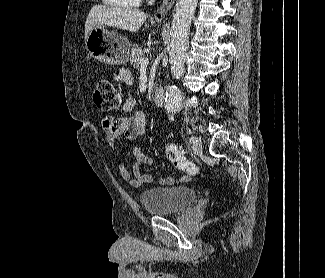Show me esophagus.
<instances>
[{
	"mask_svg": "<svg viewBox=\"0 0 325 278\" xmlns=\"http://www.w3.org/2000/svg\"><path fill=\"white\" fill-rule=\"evenodd\" d=\"M175 3V0H163V3L161 6L157 9V11L154 14V19L156 21H161L165 18L167 13L171 10Z\"/></svg>",
	"mask_w": 325,
	"mask_h": 278,
	"instance_id": "1",
	"label": "esophagus"
}]
</instances>
